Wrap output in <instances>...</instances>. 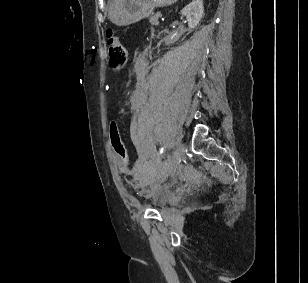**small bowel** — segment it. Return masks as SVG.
Returning <instances> with one entry per match:
<instances>
[{"mask_svg": "<svg viewBox=\"0 0 308 283\" xmlns=\"http://www.w3.org/2000/svg\"><path fill=\"white\" fill-rule=\"evenodd\" d=\"M146 101V94L140 90H136L132 93L130 104L131 108L134 110L140 109ZM120 170L126 173L128 170L125 166H122Z\"/></svg>", "mask_w": 308, "mask_h": 283, "instance_id": "c3829d8e", "label": "small bowel"}]
</instances>
